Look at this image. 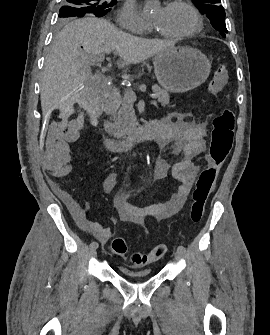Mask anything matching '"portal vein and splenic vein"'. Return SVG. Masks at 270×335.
<instances>
[{"instance_id":"18ae733b","label":"portal vein and splenic vein","mask_w":270,"mask_h":335,"mask_svg":"<svg viewBox=\"0 0 270 335\" xmlns=\"http://www.w3.org/2000/svg\"><path fill=\"white\" fill-rule=\"evenodd\" d=\"M105 56H106V53L104 51H100L98 53L97 61L99 63H102L104 61ZM125 93L127 95L126 96L127 101H137L138 99L139 100L143 99V96L142 95L138 96L136 91L133 90V88H126ZM151 103L156 105L158 102H157V100L153 99V100H151Z\"/></svg>"}]
</instances>
